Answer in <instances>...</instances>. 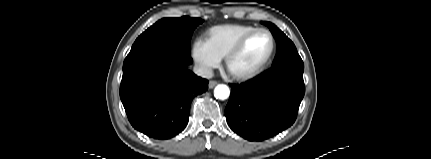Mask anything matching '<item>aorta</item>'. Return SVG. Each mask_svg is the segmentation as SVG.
I'll use <instances>...</instances> for the list:
<instances>
[{
  "label": "aorta",
  "mask_w": 431,
  "mask_h": 159,
  "mask_svg": "<svg viewBox=\"0 0 431 159\" xmlns=\"http://www.w3.org/2000/svg\"><path fill=\"white\" fill-rule=\"evenodd\" d=\"M229 95H230V90L227 85L219 84L214 89V96L217 99L225 100L229 97Z\"/></svg>",
  "instance_id": "aorta-1"
}]
</instances>
